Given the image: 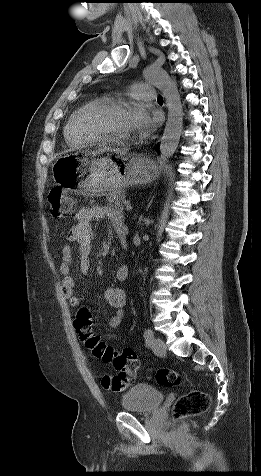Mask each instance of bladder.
Wrapping results in <instances>:
<instances>
[{
	"label": "bladder",
	"mask_w": 261,
	"mask_h": 476,
	"mask_svg": "<svg viewBox=\"0 0 261 476\" xmlns=\"http://www.w3.org/2000/svg\"><path fill=\"white\" fill-rule=\"evenodd\" d=\"M163 400V392L156 387L136 384L122 395L121 407L127 412L149 414L157 410Z\"/></svg>",
	"instance_id": "bladder-1"
}]
</instances>
